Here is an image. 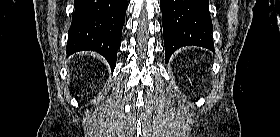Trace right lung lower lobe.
Segmentation results:
<instances>
[{
  "mask_svg": "<svg viewBox=\"0 0 280 137\" xmlns=\"http://www.w3.org/2000/svg\"><path fill=\"white\" fill-rule=\"evenodd\" d=\"M74 7L67 54L96 51L113 70L121 44L127 0H74Z\"/></svg>",
  "mask_w": 280,
  "mask_h": 137,
  "instance_id": "obj_1",
  "label": "right lung lower lobe"
}]
</instances>
